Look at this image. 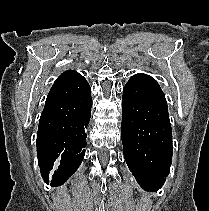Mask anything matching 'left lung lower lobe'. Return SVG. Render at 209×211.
I'll use <instances>...</instances> for the list:
<instances>
[{"mask_svg": "<svg viewBox=\"0 0 209 211\" xmlns=\"http://www.w3.org/2000/svg\"><path fill=\"white\" fill-rule=\"evenodd\" d=\"M121 138L125 161L139 185L160 189L172 162V129L165 95L147 74L133 75L123 88Z\"/></svg>", "mask_w": 209, "mask_h": 211, "instance_id": "obj_1", "label": "left lung lower lobe"}]
</instances>
